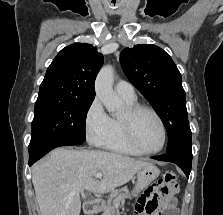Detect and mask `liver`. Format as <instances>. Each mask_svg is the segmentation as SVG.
<instances>
[{
  "mask_svg": "<svg viewBox=\"0 0 223 215\" xmlns=\"http://www.w3.org/2000/svg\"><path fill=\"white\" fill-rule=\"evenodd\" d=\"M144 159L100 149L56 147L46 161L32 167V181L41 215H79L80 193H107L132 179ZM96 173H104L101 181Z\"/></svg>",
  "mask_w": 223,
  "mask_h": 215,
  "instance_id": "liver-1",
  "label": "liver"
}]
</instances>
